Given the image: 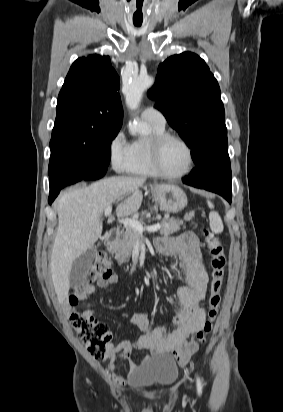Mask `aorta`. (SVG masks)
<instances>
[{
  "label": "aorta",
  "mask_w": 283,
  "mask_h": 412,
  "mask_svg": "<svg viewBox=\"0 0 283 412\" xmlns=\"http://www.w3.org/2000/svg\"><path fill=\"white\" fill-rule=\"evenodd\" d=\"M154 80L151 77L145 78H130L126 79L123 86L126 105L131 111L138 109L143 93L153 85ZM138 126L135 124L129 125L130 132H136Z\"/></svg>",
  "instance_id": "obj_1"
}]
</instances>
